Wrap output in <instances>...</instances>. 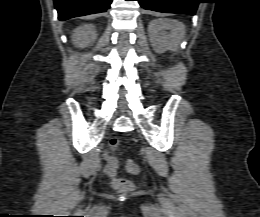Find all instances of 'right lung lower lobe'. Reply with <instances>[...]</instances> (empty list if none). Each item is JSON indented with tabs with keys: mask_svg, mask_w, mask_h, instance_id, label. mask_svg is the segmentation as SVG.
<instances>
[{
	"mask_svg": "<svg viewBox=\"0 0 260 217\" xmlns=\"http://www.w3.org/2000/svg\"><path fill=\"white\" fill-rule=\"evenodd\" d=\"M59 20L106 12L112 0H54Z\"/></svg>",
	"mask_w": 260,
	"mask_h": 217,
	"instance_id": "1",
	"label": "right lung lower lobe"
}]
</instances>
